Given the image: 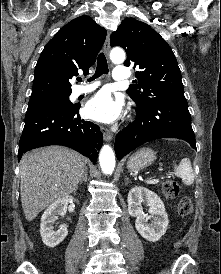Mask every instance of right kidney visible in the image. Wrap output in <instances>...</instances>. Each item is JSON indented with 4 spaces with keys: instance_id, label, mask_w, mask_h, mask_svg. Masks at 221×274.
Instances as JSON below:
<instances>
[{
    "instance_id": "obj_1",
    "label": "right kidney",
    "mask_w": 221,
    "mask_h": 274,
    "mask_svg": "<svg viewBox=\"0 0 221 274\" xmlns=\"http://www.w3.org/2000/svg\"><path fill=\"white\" fill-rule=\"evenodd\" d=\"M76 201L72 196H66L53 202L45 210L41 217L40 234L43 243L53 248L60 244L68 234L67 226L62 225L57 231H54L53 224L58 216H64L69 203Z\"/></svg>"
}]
</instances>
